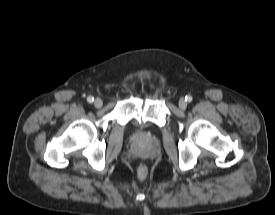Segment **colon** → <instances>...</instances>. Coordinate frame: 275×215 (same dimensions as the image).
I'll use <instances>...</instances> for the list:
<instances>
[{
    "mask_svg": "<svg viewBox=\"0 0 275 215\" xmlns=\"http://www.w3.org/2000/svg\"><path fill=\"white\" fill-rule=\"evenodd\" d=\"M136 174H137L138 178H140V179L146 178V176L148 175L147 166L143 165V164L139 165L137 167Z\"/></svg>",
    "mask_w": 275,
    "mask_h": 215,
    "instance_id": "5ec220e1",
    "label": "colon"
}]
</instances>
